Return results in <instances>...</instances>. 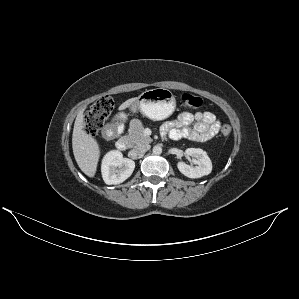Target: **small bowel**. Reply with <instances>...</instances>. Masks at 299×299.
<instances>
[{"mask_svg": "<svg viewBox=\"0 0 299 299\" xmlns=\"http://www.w3.org/2000/svg\"><path fill=\"white\" fill-rule=\"evenodd\" d=\"M220 127L221 122L211 112H182L176 120L165 123L162 131L173 139L205 142L213 138Z\"/></svg>", "mask_w": 299, "mask_h": 299, "instance_id": "1", "label": "small bowel"}]
</instances>
